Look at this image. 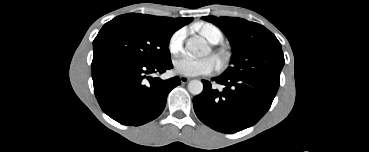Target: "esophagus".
<instances>
[{
    "label": "esophagus",
    "mask_w": 369,
    "mask_h": 152,
    "mask_svg": "<svg viewBox=\"0 0 369 152\" xmlns=\"http://www.w3.org/2000/svg\"><path fill=\"white\" fill-rule=\"evenodd\" d=\"M180 80H181V82H182L183 84H185V83H187V82L190 80V78H188V77H186V76H180Z\"/></svg>",
    "instance_id": "34e87169"
}]
</instances>
